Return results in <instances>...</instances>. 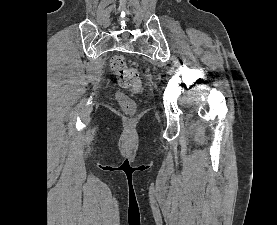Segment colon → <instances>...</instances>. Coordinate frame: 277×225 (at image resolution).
<instances>
[{"label": "colon", "mask_w": 277, "mask_h": 225, "mask_svg": "<svg viewBox=\"0 0 277 225\" xmlns=\"http://www.w3.org/2000/svg\"><path fill=\"white\" fill-rule=\"evenodd\" d=\"M111 68L114 75L122 88H128L133 91L139 90L141 86L138 71L129 66L125 57L122 55H115L111 58ZM117 101L121 109L127 114H134L136 111V103L134 100L123 92L116 94Z\"/></svg>", "instance_id": "1"}]
</instances>
